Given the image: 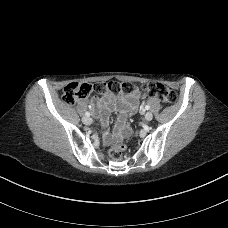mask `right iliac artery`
<instances>
[{"label":"right iliac artery","mask_w":228,"mask_h":228,"mask_svg":"<svg viewBox=\"0 0 228 228\" xmlns=\"http://www.w3.org/2000/svg\"><path fill=\"white\" fill-rule=\"evenodd\" d=\"M85 115H86L87 117H89V116H90V113H89V112H86Z\"/></svg>","instance_id":"1"}]
</instances>
